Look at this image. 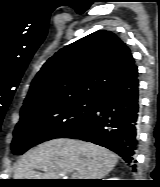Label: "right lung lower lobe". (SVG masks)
Segmentation results:
<instances>
[{"instance_id":"right-lung-lower-lobe-1","label":"right lung lower lobe","mask_w":160,"mask_h":187,"mask_svg":"<svg viewBox=\"0 0 160 187\" xmlns=\"http://www.w3.org/2000/svg\"><path fill=\"white\" fill-rule=\"evenodd\" d=\"M138 70L134 64L96 99L93 114L63 138L80 139L106 147L135 171L139 125Z\"/></svg>"}]
</instances>
